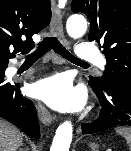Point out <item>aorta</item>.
Here are the masks:
<instances>
[{"label":"aorta","mask_w":131,"mask_h":151,"mask_svg":"<svg viewBox=\"0 0 131 151\" xmlns=\"http://www.w3.org/2000/svg\"><path fill=\"white\" fill-rule=\"evenodd\" d=\"M66 29L72 38H80L87 30V22L81 15H72L68 18ZM73 127L70 121L60 124L50 147V151H69L72 142Z\"/></svg>","instance_id":"1"}]
</instances>
